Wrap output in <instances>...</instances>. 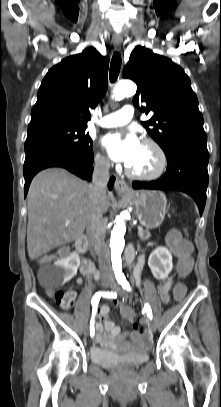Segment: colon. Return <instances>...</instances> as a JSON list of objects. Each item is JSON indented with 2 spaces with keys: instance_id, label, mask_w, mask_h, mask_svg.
Returning <instances> with one entry per match:
<instances>
[{
  "instance_id": "obj_1",
  "label": "colon",
  "mask_w": 221,
  "mask_h": 407,
  "mask_svg": "<svg viewBox=\"0 0 221 407\" xmlns=\"http://www.w3.org/2000/svg\"><path fill=\"white\" fill-rule=\"evenodd\" d=\"M167 242L173 252L179 256V262L176 268L178 278L188 279L192 271V264L195 262L194 255H190L194 249L193 242L184 240L182 234L178 231L169 233ZM55 252H47L45 255L46 259H37L36 266H40L41 261H55L57 255L65 254L66 249L64 246H57ZM187 290V282H176L175 285L171 286V301L174 304H181L187 296ZM47 293L63 308H68L73 303V297L68 292L47 291ZM118 312L123 321L128 322V327L130 329H135L137 327V322L134 320L136 318V311L133 305H120L118 307ZM138 330L142 331L141 329H136L135 331L137 332Z\"/></svg>"
}]
</instances>
